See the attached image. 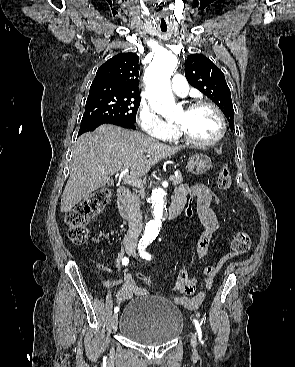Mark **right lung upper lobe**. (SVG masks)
I'll list each match as a JSON object with an SVG mask.
<instances>
[{
    "mask_svg": "<svg viewBox=\"0 0 295 367\" xmlns=\"http://www.w3.org/2000/svg\"><path fill=\"white\" fill-rule=\"evenodd\" d=\"M139 57L134 53L118 54L101 65L93 80L90 92L139 97Z\"/></svg>",
    "mask_w": 295,
    "mask_h": 367,
    "instance_id": "1",
    "label": "right lung upper lobe"
}]
</instances>
